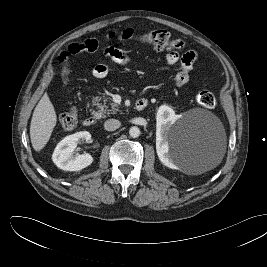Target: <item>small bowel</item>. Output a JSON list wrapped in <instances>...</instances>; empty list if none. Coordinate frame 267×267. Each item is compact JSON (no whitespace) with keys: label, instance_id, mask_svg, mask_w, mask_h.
<instances>
[{"label":"small bowel","instance_id":"obj_1","mask_svg":"<svg viewBox=\"0 0 267 267\" xmlns=\"http://www.w3.org/2000/svg\"><path fill=\"white\" fill-rule=\"evenodd\" d=\"M114 33L109 32L105 35L108 40L114 39ZM99 47L98 40L95 38H88L83 42H76L70 44L64 51H62L58 60L65 62L69 55L79 54L81 52H95ZM105 57L108 61L121 65H126L130 62L128 53L116 47H107L104 51ZM196 59L195 52L186 53L181 59L176 53H169L166 56L165 63L168 66L176 65L180 62L179 69L175 75V85L177 87L185 86L189 81V73L192 70L194 61ZM109 72V64L107 62H100L93 67L92 73L95 78L101 79L107 76Z\"/></svg>","mask_w":267,"mask_h":267}]
</instances>
